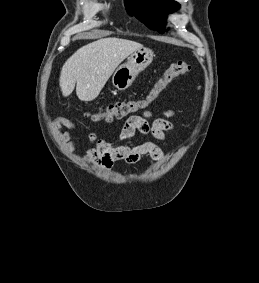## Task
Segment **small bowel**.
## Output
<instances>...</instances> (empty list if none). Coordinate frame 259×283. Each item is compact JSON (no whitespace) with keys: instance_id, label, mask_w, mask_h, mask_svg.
Masks as SVG:
<instances>
[{"instance_id":"1","label":"small bowel","mask_w":259,"mask_h":283,"mask_svg":"<svg viewBox=\"0 0 259 283\" xmlns=\"http://www.w3.org/2000/svg\"><path fill=\"white\" fill-rule=\"evenodd\" d=\"M150 112H145L143 115H133L129 117L122 129L120 137L124 141L121 145H116L97 137L95 134L87 136V141L90 146L85 151L83 157L86 161L93 163L103 169H111L116 161H123L128 165L137 163L142 156H148L152 160H161L164 158V150L152 141H145L140 144H131L129 140L136 134L151 135L156 140L167 144V132L174 128L171 118L174 112L166 110L161 117L156 118L153 122H149ZM56 129L62 127L68 131L60 134V138L64 141L68 148L75 149L79 145V141H73L76 134L74 131L77 125L65 118L57 117L53 121Z\"/></svg>"}]
</instances>
